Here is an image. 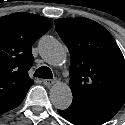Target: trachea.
I'll return each instance as SVG.
<instances>
[{
  "mask_svg": "<svg viewBox=\"0 0 125 125\" xmlns=\"http://www.w3.org/2000/svg\"><path fill=\"white\" fill-rule=\"evenodd\" d=\"M34 76L35 77H39V78H44V79H52L53 78L52 71L47 66H41V67H39L35 71Z\"/></svg>",
  "mask_w": 125,
  "mask_h": 125,
  "instance_id": "obj_1",
  "label": "trachea"
}]
</instances>
